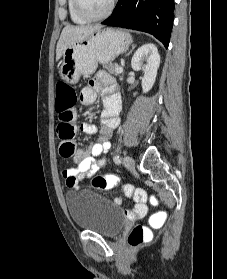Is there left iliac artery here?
I'll list each match as a JSON object with an SVG mask.
<instances>
[{"label": "left iliac artery", "mask_w": 227, "mask_h": 279, "mask_svg": "<svg viewBox=\"0 0 227 279\" xmlns=\"http://www.w3.org/2000/svg\"><path fill=\"white\" fill-rule=\"evenodd\" d=\"M114 162H115L116 164H120V163H121V158H120L119 155H116V156L114 157Z\"/></svg>", "instance_id": "left-iliac-artery-1"}]
</instances>
